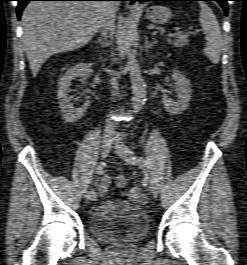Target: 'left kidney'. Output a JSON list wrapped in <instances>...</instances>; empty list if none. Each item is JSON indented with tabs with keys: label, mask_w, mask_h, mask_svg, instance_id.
Instances as JSON below:
<instances>
[{
	"label": "left kidney",
	"mask_w": 247,
	"mask_h": 265,
	"mask_svg": "<svg viewBox=\"0 0 247 265\" xmlns=\"http://www.w3.org/2000/svg\"><path fill=\"white\" fill-rule=\"evenodd\" d=\"M174 80V88L177 94V99H171L167 94L162 96V103L166 111L171 115L181 114L189 106V101L192 97L191 83L185 75L177 69L172 71Z\"/></svg>",
	"instance_id": "left-kidney-1"
}]
</instances>
